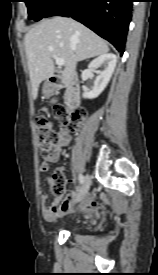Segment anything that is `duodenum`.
Instances as JSON below:
<instances>
[{"label":"duodenum","instance_id":"duodenum-1","mask_svg":"<svg viewBox=\"0 0 158 275\" xmlns=\"http://www.w3.org/2000/svg\"><path fill=\"white\" fill-rule=\"evenodd\" d=\"M51 88L47 91L53 93L54 89L65 88L66 104L70 111L78 109L80 105V88L77 81L65 80L61 75L50 77Z\"/></svg>","mask_w":158,"mask_h":275}]
</instances>
